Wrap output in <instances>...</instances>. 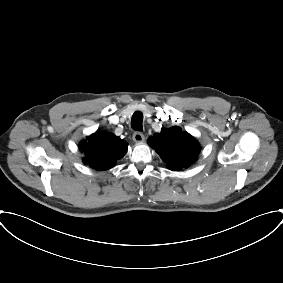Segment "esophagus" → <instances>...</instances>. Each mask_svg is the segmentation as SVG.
Masks as SVG:
<instances>
[{
	"label": "esophagus",
	"instance_id": "obj_1",
	"mask_svg": "<svg viewBox=\"0 0 283 283\" xmlns=\"http://www.w3.org/2000/svg\"><path fill=\"white\" fill-rule=\"evenodd\" d=\"M132 138H133L134 142H136V143H141L145 140L144 135L139 131L134 132Z\"/></svg>",
	"mask_w": 283,
	"mask_h": 283
}]
</instances>
